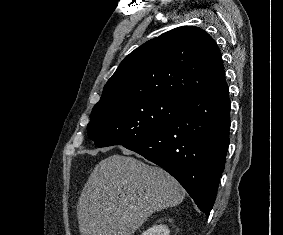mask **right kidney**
Instances as JSON below:
<instances>
[{"label": "right kidney", "instance_id": "1", "mask_svg": "<svg viewBox=\"0 0 283 235\" xmlns=\"http://www.w3.org/2000/svg\"><path fill=\"white\" fill-rule=\"evenodd\" d=\"M170 231L166 225H154L147 231L143 232L142 235H169Z\"/></svg>", "mask_w": 283, "mask_h": 235}]
</instances>
